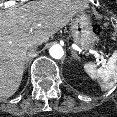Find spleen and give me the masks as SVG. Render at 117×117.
<instances>
[{
  "instance_id": "spleen-1",
  "label": "spleen",
  "mask_w": 117,
  "mask_h": 117,
  "mask_svg": "<svg viewBox=\"0 0 117 117\" xmlns=\"http://www.w3.org/2000/svg\"><path fill=\"white\" fill-rule=\"evenodd\" d=\"M84 69L91 78L101 81L103 89L111 88L117 82V50L113 52L103 68L97 69L95 64L87 63Z\"/></svg>"
}]
</instances>
